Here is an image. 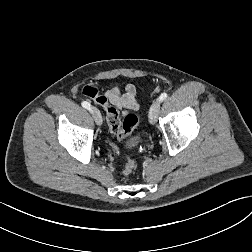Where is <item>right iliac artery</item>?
<instances>
[{
    "instance_id": "1",
    "label": "right iliac artery",
    "mask_w": 252,
    "mask_h": 252,
    "mask_svg": "<svg viewBox=\"0 0 252 252\" xmlns=\"http://www.w3.org/2000/svg\"><path fill=\"white\" fill-rule=\"evenodd\" d=\"M81 104H82V106H83L85 109H88V110L91 111V105H90L88 102L83 101Z\"/></svg>"
}]
</instances>
